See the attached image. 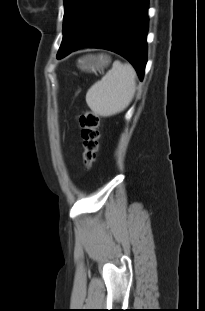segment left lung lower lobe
Masks as SVG:
<instances>
[{
  "mask_svg": "<svg viewBox=\"0 0 205 311\" xmlns=\"http://www.w3.org/2000/svg\"><path fill=\"white\" fill-rule=\"evenodd\" d=\"M147 8L148 0H117L84 39L57 59L85 47L107 49L130 61L142 80L147 55Z\"/></svg>",
  "mask_w": 205,
  "mask_h": 311,
  "instance_id": "left-lung-lower-lobe-1",
  "label": "left lung lower lobe"
}]
</instances>
